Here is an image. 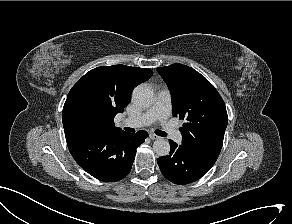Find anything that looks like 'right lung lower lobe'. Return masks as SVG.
I'll return each instance as SVG.
<instances>
[{
    "label": "right lung lower lobe",
    "instance_id": "right-lung-lower-lobe-1",
    "mask_svg": "<svg viewBox=\"0 0 292 224\" xmlns=\"http://www.w3.org/2000/svg\"><path fill=\"white\" fill-rule=\"evenodd\" d=\"M148 133H94L66 136L75 161L91 176L105 182H116L128 175L137 147Z\"/></svg>",
    "mask_w": 292,
    "mask_h": 224
}]
</instances>
